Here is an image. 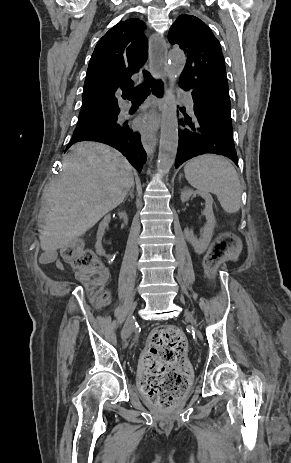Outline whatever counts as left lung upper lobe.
Masks as SVG:
<instances>
[{"label": "left lung upper lobe", "mask_w": 291, "mask_h": 463, "mask_svg": "<svg viewBox=\"0 0 291 463\" xmlns=\"http://www.w3.org/2000/svg\"><path fill=\"white\" fill-rule=\"evenodd\" d=\"M187 55L180 85L202 111L231 122V103L225 61L219 41L199 18L180 15L168 34Z\"/></svg>", "instance_id": "5c2ea615"}]
</instances>
